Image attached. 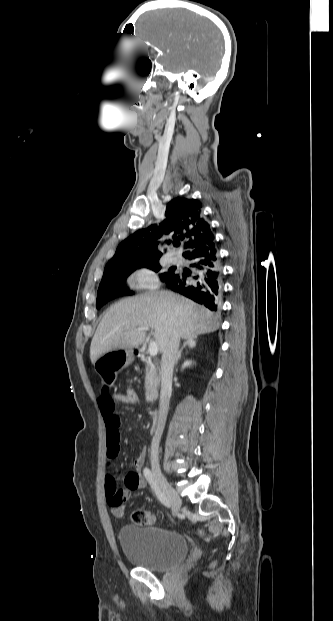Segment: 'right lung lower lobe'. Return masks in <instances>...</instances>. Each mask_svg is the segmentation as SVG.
Returning <instances> with one entry per match:
<instances>
[{
    "label": "right lung lower lobe",
    "instance_id": "98d812e1",
    "mask_svg": "<svg viewBox=\"0 0 333 621\" xmlns=\"http://www.w3.org/2000/svg\"><path fill=\"white\" fill-rule=\"evenodd\" d=\"M192 261V270L174 272L165 282L174 292H178L212 311L220 305L222 296V269L215 244L203 250L184 255Z\"/></svg>",
    "mask_w": 333,
    "mask_h": 621
}]
</instances>
